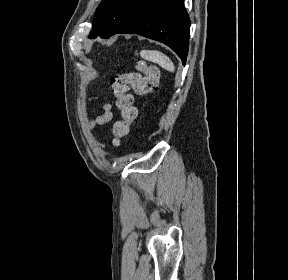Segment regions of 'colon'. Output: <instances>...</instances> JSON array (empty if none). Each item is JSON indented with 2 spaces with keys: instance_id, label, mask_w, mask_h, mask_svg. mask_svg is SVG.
<instances>
[{
  "instance_id": "1",
  "label": "colon",
  "mask_w": 288,
  "mask_h": 280,
  "mask_svg": "<svg viewBox=\"0 0 288 280\" xmlns=\"http://www.w3.org/2000/svg\"><path fill=\"white\" fill-rule=\"evenodd\" d=\"M159 77L160 71L157 66L148 64L144 60H137L134 72L120 74L111 79V93L116 98V106L121 114V119L113 125L115 146H120L137 115L133 96L129 90L132 88L140 95L152 93L158 88Z\"/></svg>"
}]
</instances>
